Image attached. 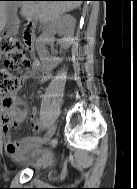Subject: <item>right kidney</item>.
Returning <instances> with one entry per match:
<instances>
[{"label":"right kidney","instance_id":"obj_1","mask_svg":"<svg viewBox=\"0 0 137 189\" xmlns=\"http://www.w3.org/2000/svg\"><path fill=\"white\" fill-rule=\"evenodd\" d=\"M74 24L75 20L70 15H63L55 19L49 27L38 37L36 40V50L39 55V58L42 62V65L47 70H53L58 66L61 59L60 58H51L48 55V51L46 49V44L54 41V34L57 31L65 33V37L60 40V44L62 48L68 49L73 40L74 34Z\"/></svg>","mask_w":137,"mask_h":189}]
</instances>
